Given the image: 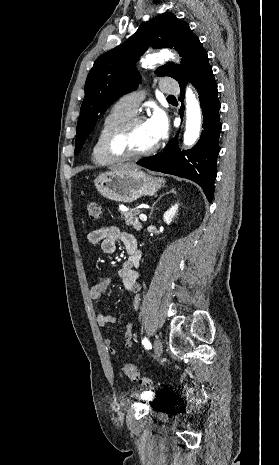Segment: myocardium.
Returning a JSON list of instances; mask_svg holds the SVG:
<instances>
[{
    "instance_id": "obj_1",
    "label": "myocardium",
    "mask_w": 279,
    "mask_h": 465,
    "mask_svg": "<svg viewBox=\"0 0 279 465\" xmlns=\"http://www.w3.org/2000/svg\"><path fill=\"white\" fill-rule=\"evenodd\" d=\"M140 122H145L142 116H132L124 122L114 127L106 136L104 141V151L106 155L116 161L118 160H133L148 157L152 155L158 148L156 142L149 149L142 152H129L120 147L121 141L126 137L133 126Z\"/></svg>"
}]
</instances>
